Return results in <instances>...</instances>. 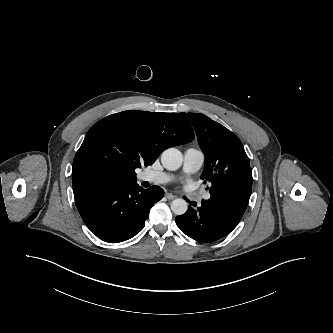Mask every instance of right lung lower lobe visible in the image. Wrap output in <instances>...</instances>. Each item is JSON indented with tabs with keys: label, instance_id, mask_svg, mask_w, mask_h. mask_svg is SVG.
I'll use <instances>...</instances> for the list:
<instances>
[{
	"label": "right lung lower lobe",
	"instance_id": "1",
	"mask_svg": "<svg viewBox=\"0 0 333 333\" xmlns=\"http://www.w3.org/2000/svg\"><path fill=\"white\" fill-rule=\"evenodd\" d=\"M77 209L86 226L101 240L118 243L135 236L145 226L151 207L162 199L159 186L143 189L106 182L73 187Z\"/></svg>",
	"mask_w": 333,
	"mask_h": 333
}]
</instances>
